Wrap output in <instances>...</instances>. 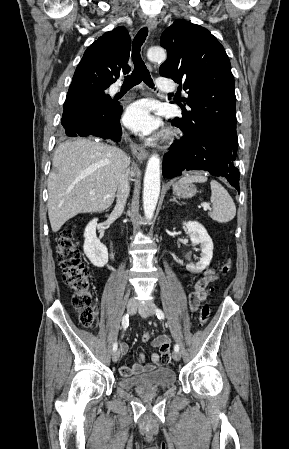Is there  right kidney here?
I'll list each match as a JSON object with an SVG mask.
<instances>
[{"mask_svg":"<svg viewBox=\"0 0 289 449\" xmlns=\"http://www.w3.org/2000/svg\"><path fill=\"white\" fill-rule=\"evenodd\" d=\"M97 218L86 226L84 231L83 250L90 262L96 267H104L108 262V250L96 236Z\"/></svg>","mask_w":289,"mask_h":449,"instance_id":"1","label":"right kidney"}]
</instances>
